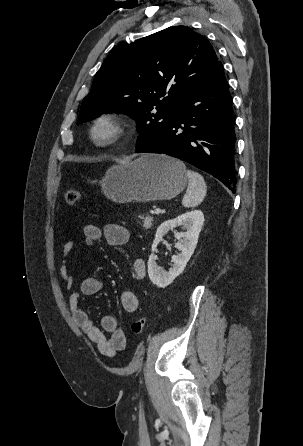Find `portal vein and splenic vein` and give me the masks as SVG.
Wrapping results in <instances>:
<instances>
[{"label":"portal vein and splenic vein","instance_id":"portal-vein-and-splenic-vein-1","mask_svg":"<svg viewBox=\"0 0 303 446\" xmlns=\"http://www.w3.org/2000/svg\"><path fill=\"white\" fill-rule=\"evenodd\" d=\"M162 212V210L160 208L155 209V214H160Z\"/></svg>","mask_w":303,"mask_h":446}]
</instances>
